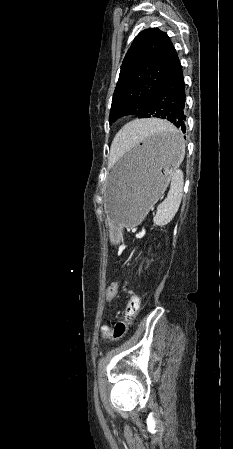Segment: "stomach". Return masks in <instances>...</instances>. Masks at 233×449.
Masks as SVG:
<instances>
[{"instance_id": "0dacf381", "label": "stomach", "mask_w": 233, "mask_h": 449, "mask_svg": "<svg viewBox=\"0 0 233 449\" xmlns=\"http://www.w3.org/2000/svg\"><path fill=\"white\" fill-rule=\"evenodd\" d=\"M183 157L177 133H154L111 169L105 190L110 239L123 227L138 225L167 188Z\"/></svg>"}]
</instances>
